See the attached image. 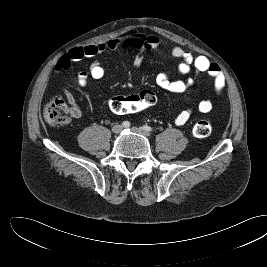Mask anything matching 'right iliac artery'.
<instances>
[{
  "instance_id": "1",
  "label": "right iliac artery",
  "mask_w": 267,
  "mask_h": 267,
  "mask_svg": "<svg viewBox=\"0 0 267 267\" xmlns=\"http://www.w3.org/2000/svg\"><path fill=\"white\" fill-rule=\"evenodd\" d=\"M122 125L124 126V127H129L130 126V122L129 121H124L123 123H122Z\"/></svg>"
}]
</instances>
